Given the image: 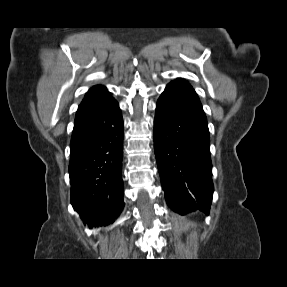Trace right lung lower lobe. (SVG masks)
<instances>
[{"label": "right lung lower lobe", "instance_id": "98d812e1", "mask_svg": "<svg viewBox=\"0 0 287 287\" xmlns=\"http://www.w3.org/2000/svg\"><path fill=\"white\" fill-rule=\"evenodd\" d=\"M71 204L85 224L112 223L123 202V118L116 100L76 115L70 144Z\"/></svg>", "mask_w": 287, "mask_h": 287}]
</instances>
